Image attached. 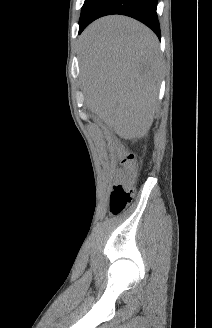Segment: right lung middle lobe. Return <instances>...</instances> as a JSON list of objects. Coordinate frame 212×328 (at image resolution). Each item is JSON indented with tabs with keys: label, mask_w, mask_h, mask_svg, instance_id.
Instances as JSON below:
<instances>
[{
	"label": "right lung middle lobe",
	"mask_w": 212,
	"mask_h": 328,
	"mask_svg": "<svg viewBox=\"0 0 212 328\" xmlns=\"http://www.w3.org/2000/svg\"><path fill=\"white\" fill-rule=\"evenodd\" d=\"M96 0H85L84 5L82 7V11H81V16H80V21H79V25L81 24V22L84 20L89 8L95 3Z\"/></svg>",
	"instance_id": "obj_1"
}]
</instances>
